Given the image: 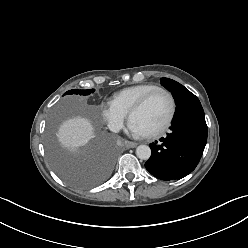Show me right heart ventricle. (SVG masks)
Listing matches in <instances>:
<instances>
[{
	"instance_id": "1",
	"label": "right heart ventricle",
	"mask_w": 248,
	"mask_h": 248,
	"mask_svg": "<svg viewBox=\"0 0 248 248\" xmlns=\"http://www.w3.org/2000/svg\"><path fill=\"white\" fill-rule=\"evenodd\" d=\"M154 84H138L121 89L112 97L118 108L128 113L131 107L147 92L157 88Z\"/></svg>"
}]
</instances>
